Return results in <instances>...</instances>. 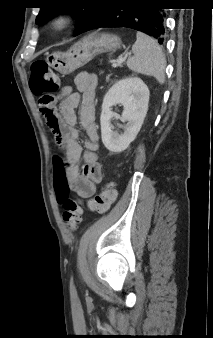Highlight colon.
I'll use <instances>...</instances> for the list:
<instances>
[{"mask_svg":"<svg viewBox=\"0 0 213 338\" xmlns=\"http://www.w3.org/2000/svg\"><path fill=\"white\" fill-rule=\"evenodd\" d=\"M29 85L34 95L40 97L39 107L47 125L54 135L57 145L63 141V131L59 125V118L55 112L51 94L58 91L60 81L50 66L42 61H34L31 68ZM55 192L58 201L62 204L63 218L68 229L75 231L82 219L83 208L75 198L69 196L66 178L62 171H58L55 179ZM117 190L114 184H108L88 201V208L95 213L105 214L116 200Z\"/></svg>","mask_w":213,"mask_h":338,"instance_id":"1","label":"colon"}]
</instances>
